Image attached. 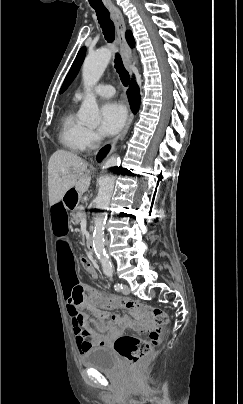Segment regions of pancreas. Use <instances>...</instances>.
I'll return each instance as SVG.
<instances>
[{
	"mask_svg": "<svg viewBox=\"0 0 243 404\" xmlns=\"http://www.w3.org/2000/svg\"><path fill=\"white\" fill-rule=\"evenodd\" d=\"M76 212L77 214H74L73 219L75 220L76 224L80 223V216L79 214H85L84 210H82V206H78V208H76Z\"/></svg>",
	"mask_w": 243,
	"mask_h": 404,
	"instance_id": "pancreas-1",
	"label": "pancreas"
}]
</instances>
